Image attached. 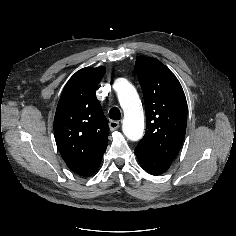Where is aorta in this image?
Masks as SVG:
<instances>
[{
    "label": "aorta",
    "mask_w": 236,
    "mask_h": 236,
    "mask_svg": "<svg viewBox=\"0 0 236 236\" xmlns=\"http://www.w3.org/2000/svg\"><path fill=\"white\" fill-rule=\"evenodd\" d=\"M116 90L124 112L123 133L129 140L137 141L142 138L144 132V114L138 93L125 79L117 80Z\"/></svg>",
    "instance_id": "1"
}]
</instances>
